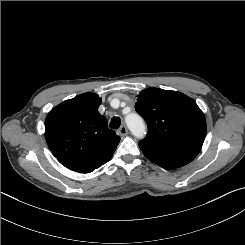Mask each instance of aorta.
Segmentation results:
<instances>
[{"instance_id": "obj_1", "label": "aorta", "mask_w": 245, "mask_h": 245, "mask_svg": "<svg viewBox=\"0 0 245 245\" xmlns=\"http://www.w3.org/2000/svg\"><path fill=\"white\" fill-rule=\"evenodd\" d=\"M127 126L136 138H143L146 134V127L138 115H130L126 118Z\"/></svg>"}]
</instances>
